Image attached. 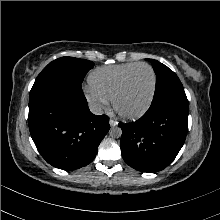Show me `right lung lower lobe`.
<instances>
[{
    "label": "right lung lower lobe",
    "instance_id": "obj_1",
    "mask_svg": "<svg viewBox=\"0 0 220 220\" xmlns=\"http://www.w3.org/2000/svg\"><path fill=\"white\" fill-rule=\"evenodd\" d=\"M109 128L107 116L90 112L81 84L59 80L32 87L31 137L52 166L70 171L89 164Z\"/></svg>",
    "mask_w": 220,
    "mask_h": 220
}]
</instances>
